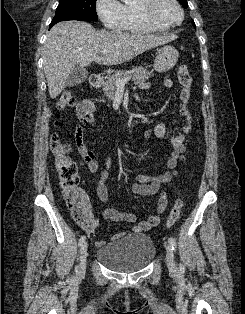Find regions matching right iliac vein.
Wrapping results in <instances>:
<instances>
[{
	"label": "right iliac vein",
	"mask_w": 245,
	"mask_h": 314,
	"mask_svg": "<svg viewBox=\"0 0 245 314\" xmlns=\"http://www.w3.org/2000/svg\"><path fill=\"white\" fill-rule=\"evenodd\" d=\"M88 243L83 242L80 249V265L78 268V274L82 275L86 270Z\"/></svg>",
	"instance_id": "1"
}]
</instances>
